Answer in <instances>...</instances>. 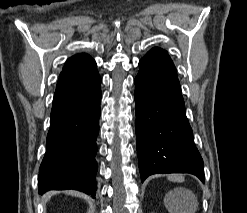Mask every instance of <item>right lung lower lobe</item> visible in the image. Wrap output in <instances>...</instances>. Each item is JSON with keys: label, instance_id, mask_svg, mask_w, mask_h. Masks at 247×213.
Returning a JSON list of instances; mask_svg holds the SVG:
<instances>
[{"label": "right lung lower lobe", "instance_id": "right-lung-lower-lobe-1", "mask_svg": "<svg viewBox=\"0 0 247 213\" xmlns=\"http://www.w3.org/2000/svg\"><path fill=\"white\" fill-rule=\"evenodd\" d=\"M100 84L96 66L59 78L39 169V193L75 189L95 196Z\"/></svg>", "mask_w": 247, "mask_h": 213}]
</instances>
